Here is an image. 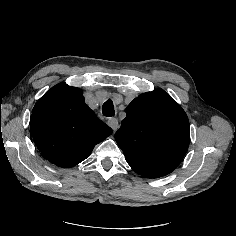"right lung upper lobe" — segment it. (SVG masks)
I'll use <instances>...</instances> for the list:
<instances>
[{"label":"right lung upper lobe","mask_w":236,"mask_h":236,"mask_svg":"<svg viewBox=\"0 0 236 236\" xmlns=\"http://www.w3.org/2000/svg\"><path fill=\"white\" fill-rule=\"evenodd\" d=\"M30 133L45 159L70 168L85 160L112 129L85 104L81 89L60 83L37 101Z\"/></svg>","instance_id":"obj_1"}]
</instances>
